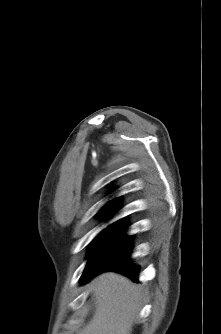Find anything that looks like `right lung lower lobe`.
<instances>
[{
  "instance_id": "1",
  "label": "right lung lower lobe",
  "mask_w": 221,
  "mask_h": 334,
  "mask_svg": "<svg viewBox=\"0 0 221 334\" xmlns=\"http://www.w3.org/2000/svg\"><path fill=\"white\" fill-rule=\"evenodd\" d=\"M130 253L131 250L129 245L124 251H122L119 255H117L109 264L88 274L82 281L83 282L89 281L93 276L102 271L114 270L117 272H121L130 277L133 281L138 282L137 276H138L139 266H135L131 263L129 258Z\"/></svg>"
}]
</instances>
